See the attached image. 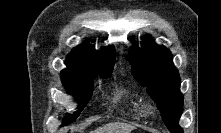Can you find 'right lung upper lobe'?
Wrapping results in <instances>:
<instances>
[{"label":"right lung upper lobe","mask_w":221,"mask_h":133,"mask_svg":"<svg viewBox=\"0 0 221 133\" xmlns=\"http://www.w3.org/2000/svg\"><path fill=\"white\" fill-rule=\"evenodd\" d=\"M115 62V50L108 47L104 52H97L94 48L82 44L77 46L67 57V69L61 72V76H67L92 67L113 65Z\"/></svg>","instance_id":"obj_1"}]
</instances>
